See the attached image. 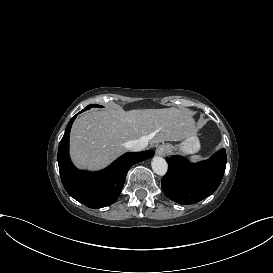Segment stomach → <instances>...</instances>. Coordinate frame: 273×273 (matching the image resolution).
<instances>
[{
  "instance_id": "stomach-1",
  "label": "stomach",
  "mask_w": 273,
  "mask_h": 273,
  "mask_svg": "<svg viewBox=\"0 0 273 273\" xmlns=\"http://www.w3.org/2000/svg\"><path fill=\"white\" fill-rule=\"evenodd\" d=\"M163 145L165 144H162L160 146H163ZM168 145H169V148L167 153H171L174 149H176V147H174L173 145L171 144H168ZM178 148L183 154H194L198 152L200 149L199 139H193V140L186 139L181 144L178 145Z\"/></svg>"
}]
</instances>
